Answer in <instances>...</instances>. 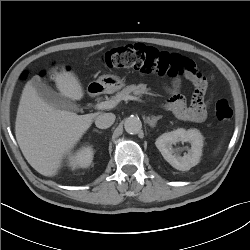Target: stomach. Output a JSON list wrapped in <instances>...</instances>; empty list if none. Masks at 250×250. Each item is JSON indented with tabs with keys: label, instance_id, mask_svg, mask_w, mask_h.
<instances>
[{
	"label": "stomach",
	"instance_id": "obj_1",
	"mask_svg": "<svg viewBox=\"0 0 250 250\" xmlns=\"http://www.w3.org/2000/svg\"><path fill=\"white\" fill-rule=\"evenodd\" d=\"M96 83L102 87L107 93H113L125 86V81L116 75H102Z\"/></svg>",
	"mask_w": 250,
	"mask_h": 250
}]
</instances>
